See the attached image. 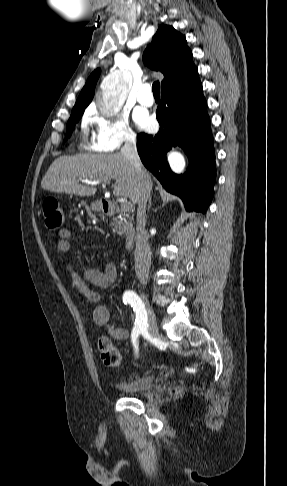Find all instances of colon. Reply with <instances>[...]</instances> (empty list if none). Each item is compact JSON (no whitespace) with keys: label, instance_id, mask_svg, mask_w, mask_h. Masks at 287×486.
<instances>
[{"label":"colon","instance_id":"colon-1","mask_svg":"<svg viewBox=\"0 0 287 486\" xmlns=\"http://www.w3.org/2000/svg\"><path fill=\"white\" fill-rule=\"evenodd\" d=\"M42 211L45 225L50 229H57L63 223V212L59 201L51 196L42 202ZM98 351L103 363L108 367H118L121 364V355L111 339L101 336L97 343Z\"/></svg>","mask_w":287,"mask_h":486}]
</instances>
